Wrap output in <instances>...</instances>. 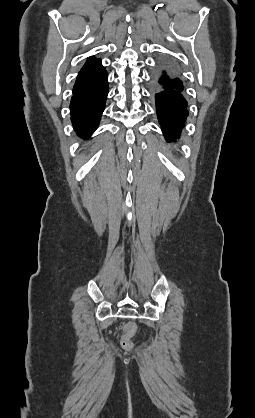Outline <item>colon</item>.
Returning <instances> with one entry per match:
<instances>
[{
	"mask_svg": "<svg viewBox=\"0 0 255 418\" xmlns=\"http://www.w3.org/2000/svg\"><path fill=\"white\" fill-rule=\"evenodd\" d=\"M137 333V326L135 323H128L123 327L121 336V346L125 350H132L134 348L133 337Z\"/></svg>",
	"mask_w": 255,
	"mask_h": 418,
	"instance_id": "1",
	"label": "colon"
}]
</instances>
